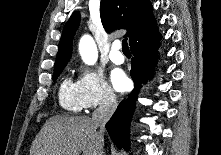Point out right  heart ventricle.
Returning <instances> with one entry per match:
<instances>
[{"label":"right heart ventricle","instance_id":"obj_1","mask_svg":"<svg viewBox=\"0 0 221 155\" xmlns=\"http://www.w3.org/2000/svg\"><path fill=\"white\" fill-rule=\"evenodd\" d=\"M59 103L61 107L70 112H79L84 107L80 100L78 82L66 77L59 88Z\"/></svg>","mask_w":221,"mask_h":155}]
</instances>
